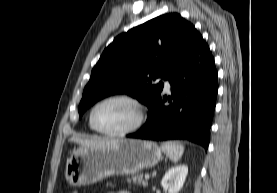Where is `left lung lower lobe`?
<instances>
[{"instance_id": "0a47b994", "label": "left lung lower lobe", "mask_w": 277, "mask_h": 193, "mask_svg": "<svg viewBox=\"0 0 277 193\" xmlns=\"http://www.w3.org/2000/svg\"><path fill=\"white\" fill-rule=\"evenodd\" d=\"M172 95L158 99L144 127L127 135L149 140L188 139L209 145L210 127L216 105L218 73L214 58L199 34L183 62L168 78ZM168 100L170 105L165 106Z\"/></svg>"}]
</instances>
